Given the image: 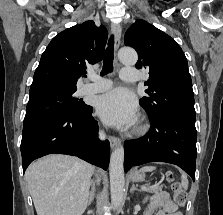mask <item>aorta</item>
Segmentation results:
<instances>
[{"mask_svg": "<svg viewBox=\"0 0 223 215\" xmlns=\"http://www.w3.org/2000/svg\"><path fill=\"white\" fill-rule=\"evenodd\" d=\"M118 58L122 64H136L138 56L133 48H121L118 52ZM124 147L119 143L111 153L110 157V189L111 201L114 205H120L124 197Z\"/></svg>", "mask_w": 223, "mask_h": 215, "instance_id": "1", "label": "aorta"}]
</instances>
